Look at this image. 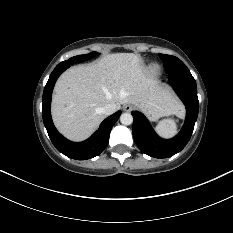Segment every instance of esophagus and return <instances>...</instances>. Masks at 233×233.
<instances>
[{"label": "esophagus", "instance_id": "esophagus-1", "mask_svg": "<svg viewBox=\"0 0 233 233\" xmlns=\"http://www.w3.org/2000/svg\"><path fill=\"white\" fill-rule=\"evenodd\" d=\"M132 109H133V107L131 104H124V106H123V110L125 112H130V111H132Z\"/></svg>", "mask_w": 233, "mask_h": 233}]
</instances>
